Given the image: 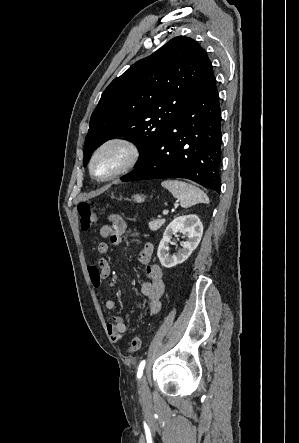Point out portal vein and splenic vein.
Listing matches in <instances>:
<instances>
[{
    "label": "portal vein and splenic vein",
    "mask_w": 299,
    "mask_h": 443,
    "mask_svg": "<svg viewBox=\"0 0 299 443\" xmlns=\"http://www.w3.org/2000/svg\"><path fill=\"white\" fill-rule=\"evenodd\" d=\"M167 214H168V210H164L163 215H167Z\"/></svg>",
    "instance_id": "portal-vein-and-splenic-vein-1"
}]
</instances>
